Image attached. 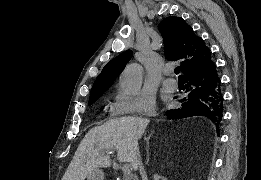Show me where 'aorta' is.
Here are the masks:
<instances>
[{
	"label": "aorta",
	"instance_id": "762f6f07",
	"mask_svg": "<svg viewBox=\"0 0 261 180\" xmlns=\"http://www.w3.org/2000/svg\"><path fill=\"white\" fill-rule=\"evenodd\" d=\"M142 74L141 65L133 63L126 66L120 79L121 88L130 94H137L142 85Z\"/></svg>",
	"mask_w": 261,
	"mask_h": 180
}]
</instances>
